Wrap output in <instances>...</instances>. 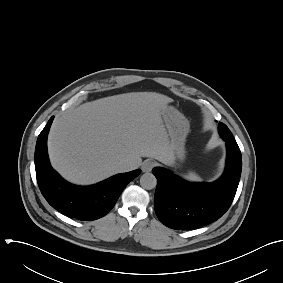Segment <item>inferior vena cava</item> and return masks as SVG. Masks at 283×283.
I'll return each instance as SVG.
<instances>
[{
  "instance_id": "602c4592",
  "label": "inferior vena cava",
  "mask_w": 283,
  "mask_h": 283,
  "mask_svg": "<svg viewBox=\"0 0 283 283\" xmlns=\"http://www.w3.org/2000/svg\"><path fill=\"white\" fill-rule=\"evenodd\" d=\"M118 167L120 172H126L135 169V165L127 160L119 161Z\"/></svg>"
}]
</instances>
